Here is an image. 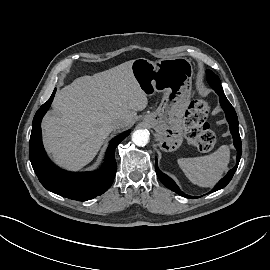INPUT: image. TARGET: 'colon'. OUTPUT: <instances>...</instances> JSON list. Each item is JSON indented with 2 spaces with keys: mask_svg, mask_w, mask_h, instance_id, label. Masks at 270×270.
<instances>
[{
  "mask_svg": "<svg viewBox=\"0 0 270 270\" xmlns=\"http://www.w3.org/2000/svg\"><path fill=\"white\" fill-rule=\"evenodd\" d=\"M209 105L202 100L192 102L184 117V133L200 151H210L217 141V130L207 126Z\"/></svg>",
  "mask_w": 270,
  "mask_h": 270,
  "instance_id": "1",
  "label": "colon"
}]
</instances>
